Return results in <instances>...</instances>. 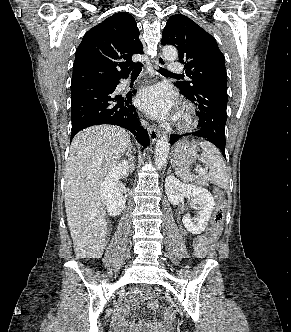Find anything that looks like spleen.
I'll return each mask as SVG.
<instances>
[{
	"instance_id": "1",
	"label": "spleen",
	"mask_w": 291,
	"mask_h": 332,
	"mask_svg": "<svg viewBox=\"0 0 291 332\" xmlns=\"http://www.w3.org/2000/svg\"><path fill=\"white\" fill-rule=\"evenodd\" d=\"M202 148L200 160L209 167V180L213 184L221 187L228 188V175L226 166L220 151L210 142H199ZM176 174L184 181H193L196 176L191 174L187 167H180L176 169Z\"/></svg>"
}]
</instances>
